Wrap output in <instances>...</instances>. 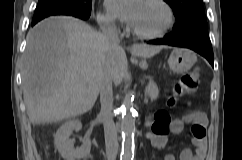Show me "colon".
<instances>
[{"mask_svg": "<svg viewBox=\"0 0 242 160\" xmlns=\"http://www.w3.org/2000/svg\"><path fill=\"white\" fill-rule=\"evenodd\" d=\"M199 72L192 71L183 75L174 85L172 95L168 99V104L173 106L177 100L185 94L193 92L198 86ZM170 116L166 111H158L155 115L152 130L157 133H165L170 123ZM200 132L199 129H195Z\"/></svg>", "mask_w": 242, "mask_h": 160, "instance_id": "1", "label": "colon"}]
</instances>
